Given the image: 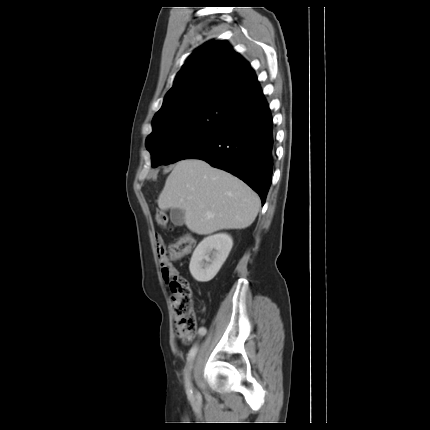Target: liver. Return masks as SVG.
<instances>
[{
    "label": "liver",
    "instance_id": "liver-1",
    "mask_svg": "<svg viewBox=\"0 0 430 430\" xmlns=\"http://www.w3.org/2000/svg\"><path fill=\"white\" fill-rule=\"evenodd\" d=\"M161 210L184 211L187 228L199 235L223 229H245L260 207L258 195L231 173L204 160L179 161L158 198Z\"/></svg>",
    "mask_w": 430,
    "mask_h": 430
}]
</instances>
